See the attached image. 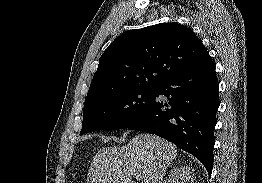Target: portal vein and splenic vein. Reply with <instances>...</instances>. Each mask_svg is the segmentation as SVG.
Here are the masks:
<instances>
[{"label":"portal vein and splenic vein","instance_id":"portal-vein-and-splenic-vein-1","mask_svg":"<svg viewBox=\"0 0 262 183\" xmlns=\"http://www.w3.org/2000/svg\"><path fill=\"white\" fill-rule=\"evenodd\" d=\"M135 179H136V180H139V179H140V176H139V175L135 176Z\"/></svg>","mask_w":262,"mask_h":183}]
</instances>
